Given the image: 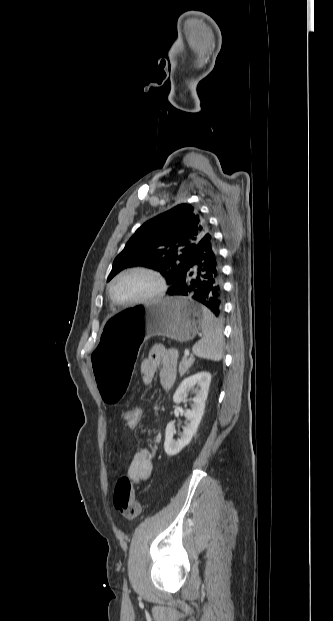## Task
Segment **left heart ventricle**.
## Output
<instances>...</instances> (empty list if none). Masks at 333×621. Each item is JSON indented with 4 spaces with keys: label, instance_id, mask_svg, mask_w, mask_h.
I'll return each instance as SVG.
<instances>
[{
    "label": "left heart ventricle",
    "instance_id": "obj_1",
    "mask_svg": "<svg viewBox=\"0 0 333 621\" xmlns=\"http://www.w3.org/2000/svg\"><path fill=\"white\" fill-rule=\"evenodd\" d=\"M157 289L155 279L147 274L132 273L118 279L113 294L119 301H132L146 297Z\"/></svg>",
    "mask_w": 333,
    "mask_h": 621
}]
</instances>
